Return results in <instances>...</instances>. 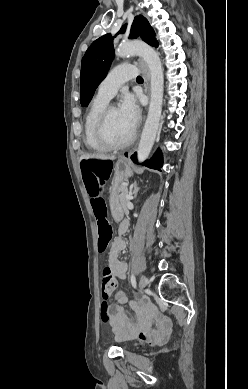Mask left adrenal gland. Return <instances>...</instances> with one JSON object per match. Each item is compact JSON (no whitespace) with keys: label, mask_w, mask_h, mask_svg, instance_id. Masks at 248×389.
Segmentation results:
<instances>
[{"label":"left adrenal gland","mask_w":248,"mask_h":389,"mask_svg":"<svg viewBox=\"0 0 248 389\" xmlns=\"http://www.w3.org/2000/svg\"><path fill=\"white\" fill-rule=\"evenodd\" d=\"M138 191H139V187L137 186L136 183H134V184H133V191H132V194H134V197L137 196Z\"/></svg>","instance_id":"1"}]
</instances>
